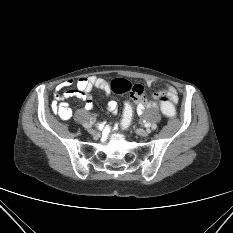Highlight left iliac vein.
<instances>
[{"mask_svg":"<svg viewBox=\"0 0 233 233\" xmlns=\"http://www.w3.org/2000/svg\"><path fill=\"white\" fill-rule=\"evenodd\" d=\"M137 134L142 137H146L149 134L148 129H138Z\"/></svg>","mask_w":233,"mask_h":233,"instance_id":"1","label":"left iliac vein"}]
</instances>
